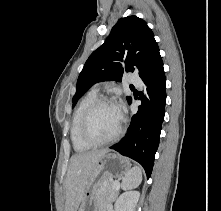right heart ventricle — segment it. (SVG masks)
<instances>
[{
  "label": "right heart ventricle",
  "mask_w": 221,
  "mask_h": 211,
  "mask_svg": "<svg viewBox=\"0 0 221 211\" xmlns=\"http://www.w3.org/2000/svg\"><path fill=\"white\" fill-rule=\"evenodd\" d=\"M98 98V92L95 89L90 90L79 102L77 108L74 111L71 123V140L75 150L86 151L92 147V145L85 142L81 136V121L84 112L88 106Z\"/></svg>",
  "instance_id": "1"
}]
</instances>
